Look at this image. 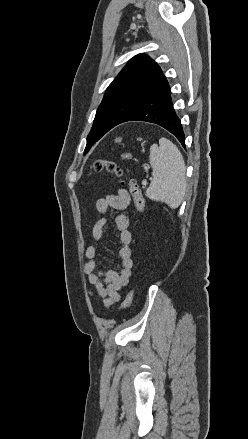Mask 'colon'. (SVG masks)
Masks as SVG:
<instances>
[{"label":"colon","instance_id":"obj_1","mask_svg":"<svg viewBox=\"0 0 248 439\" xmlns=\"http://www.w3.org/2000/svg\"><path fill=\"white\" fill-rule=\"evenodd\" d=\"M93 171L100 173L102 171H107L109 174L114 175L122 180V183L127 184L129 191L134 199L135 206L137 210L141 213L145 210V201L142 197L141 190L137 181L126 175L122 167L116 162L108 159H97L92 165ZM134 292L129 290L123 300L122 309L126 310L133 300Z\"/></svg>","mask_w":248,"mask_h":439}]
</instances>
